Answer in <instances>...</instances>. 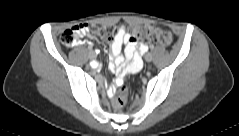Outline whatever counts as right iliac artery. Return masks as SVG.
<instances>
[{
    "label": "right iliac artery",
    "instance_id": "82829eb1",
    "mask_svg": "<svg viewBox=\"0 0 239 136\" xmlns=\"http://www.w3.org/2000/svg\"><path fill=\"white\" fill-rule=\"evenodd\" d=\"M87 50H88V53H91L92 52V46L87 47Z\"/></svg>",
    "mask_w": 239,
    "mask_h": 136
}]
</instances>
